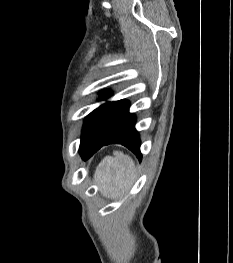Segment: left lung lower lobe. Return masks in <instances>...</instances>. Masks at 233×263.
Instances as JSON below:
<instances>
[{
    "mask_svg": "<svg viewBox=\"0 0 233 263\" xmlns=\"http://www.w3.org/2000/svg\"><path fill=\"white\" fill-rule=\"evenodd\" d=\"M134 125L135 116L129 113V102H111L96 123L89 141L80 150L82 159L87 160L101 147L115 143L127 147L141 161L140 138Z\"/></svg>",
    "mask_w": 233,
    "mask_h": 263,
    "instance_id": "obj_1",
    "label": "left lung lower lobe"
}]
</instances>
